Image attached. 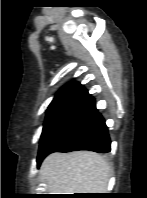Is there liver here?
<instances>
[{
	"instance_id": "liver-1",
	"label": "liver",
	"mask_w": 147,
	"mask_h": 198,
	"mask_svg": "<svg viewBox=\"0 0 147 198\" xmlns=\"http://www.w3.org/2000/svg\"><path fill=\"white\" fill-rule=\"evenodd\" d=\"M110 173L104 158L91 151L52 153L40 167L50 194L105 193Z\"/></svg>"
}]
</instances>
